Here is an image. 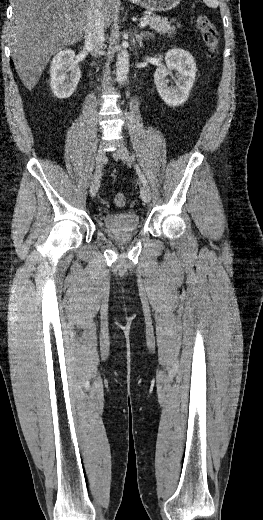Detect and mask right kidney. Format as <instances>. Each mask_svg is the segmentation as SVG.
<instances>
[{
  "label": "right kidney",
  "mask_w": 263,
  "mask_h": 520,
  "mask_svg": "<svg viewBox=\"0 0 263 520\" xmlns=\"http://www.w3.org/2000/svg\"><path fill=\"white\" fill-rule=\"evenodd\" d=\"M74 58L75 52L66 49L58 52L52 59L50 87L56 98L67 99L71 97L79 83L81 72ZM69 72L70 74H68Z\"/></svg>",
  "instance_id": "obj_1"
}]
</instances>
